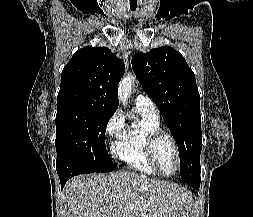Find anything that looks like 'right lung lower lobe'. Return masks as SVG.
Masks as SVG:
<instances>
[{"label":"right lung lower lobe","instance_id":"right-lung-lower-lobe-1","mask_svg":"<svg viewBox=\"0 0 253 217\" xmlns=\"http://www.w3.org/2000/svg\"><path fill=\"white\" fill-rule=\"evenodd\" d=\"M57 172L60 178L61 187L63 188L66 181L71 177L78 174L90 173L89 170L85 169L81 162L76 160H69L66 163L57 164Z\"/></svg>","mask_w":253,"mask_h":217}]
</instances>
